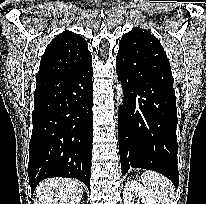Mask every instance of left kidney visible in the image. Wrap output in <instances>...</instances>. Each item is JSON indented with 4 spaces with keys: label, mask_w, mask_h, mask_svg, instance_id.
Returning a JSON list of instances; mask_svg holds the SVG:
<instances>
[{
    "label": "left kidney",
    "mask_w": 206,
    "mask_h": 204,
    "mask_svg": "<svg viewBox=\"0 0 206 204\" xmlns=\"http://www.w3.org/2000/svg\"><path fill=\"white\" fill-rule=\"evenodd\" d=\"M138 195L142 204H156L150 193L136 180L127 181L123 191L124 204H134L133 196Z\"/></svg>",
    "instance_id": "obj_1"
}]
</instances>
